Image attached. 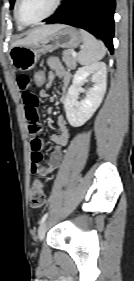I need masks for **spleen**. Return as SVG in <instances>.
<instances>
[{
    "instance_id": "1",
    "label": "spleen",
    "mask_w": 134,
    "mask_h": 281,
    "mask_svg": "<svg viewBox=\"0 0 134 281\" xmlns=\"http://www.w3.org/2000/svg\"><path fill=\"white\" fill-rule=\"evenodd\" d=\"M80 32L83 38V47L78 54V62L81 65H90L101 60L106 54L104 43L85 30H80Z\"/></svg>"
}]
</instances>
